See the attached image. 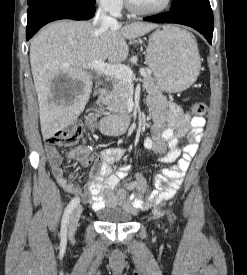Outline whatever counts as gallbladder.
<instances>
[{
    "mask_svg": "<svg viewBox=\"0 0 247 275\" xmlns=\"http://www.w3.org/2000/svg\"><path fill=\"white\" fill-rule=\"evenodd\" d=\"M74 85H76V83H74L69 77L66 75H60L52 82V91H55L57 95L60 93L72 95L74 94Z\"/></svg>",
    "mask_w": 247,
    "mask_h": 275,
    "instance_id": "1",
    "label": "gallbladder"
}]
</instances>
